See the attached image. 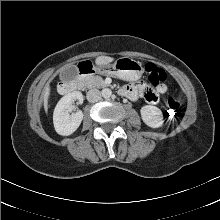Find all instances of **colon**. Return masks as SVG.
<instances>
[{
	"label": "colon",
	"mask_w": 220,
	"mask_h": 220,
	"mask_svg": "<svg viewBox=\"0 0 220 220\" xmlns=\"http://www.w3.org/2000/svg\"><path fill=\"white\" fill-rule=\"evenodd\" d=\"M145 71L148 75L150 82L153 85L155 84L161 85L166 79L165 71L153 63H148L145 66ZM179 112H180V103L174 98H168L166 101V109H165L167 118L171 122H174L177 119Z\"/></svg>",
	"instance_id": "1"
}]
</instances>
